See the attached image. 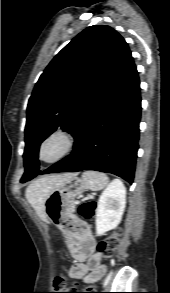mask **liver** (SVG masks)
Returning a JSON list of instances; mask_svg holds the SVG:
<instances>
[{
	"mask_svg": "<svg viewBox=\"0 0 170 293\" xmlns=\"http://www.w3.org/2000/svg\"><path fill=\"white\" fill-rule=\"evenodd\" d=\"M73 175L74 174L72 173H68L45 176L34 181L27 187L25 196L30 205L36 211L37 215L44 222H47L45 201L48 198L51 190Z\"/></svg>",
	"mask_w": 170,
	"mask_h": 293,
	"instance_id": "1",
	"label": "liver"
}]
</instances>
